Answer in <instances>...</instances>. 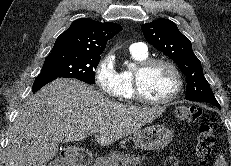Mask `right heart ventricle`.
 <instances>
[{"label": "right heart ventricle", "instance_id": "1", "mask_svg": "<svg viewBox=\"0 0 231 166\" xmlns=\"http://www.w3.org/2000/svg\"><path fill=\"white\" fill-rule=\"evenodd\" d=\"M131 58L139 63L148 58V53L147 54H141L132 50H129ZM132 74L133 72L131 70H122L120 72L121 76V82H122V87H123V95L125 99H133V83H132Z\"/></svg>", "mask_w": 231, "mask_h": 166}]
</instances>
